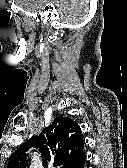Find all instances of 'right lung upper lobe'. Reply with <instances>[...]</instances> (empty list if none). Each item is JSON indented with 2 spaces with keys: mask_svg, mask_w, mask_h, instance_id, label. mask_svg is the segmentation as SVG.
I'll return each mask as SVG.
<instances>
[{
  "mask_svg": "<svg viewBox=\"0 0 127 168\" xmlns=\"http://www.w3.org/2000/svg\"><path fill=\"white\" fill-rule=\"evenodd\" d=\"M84 144L79 125L70 118L57 117L12 154L7 168H26L27 151L33 145L39 149L45 168H74L85 158Z\"/></svg>",
  "mask_w": 127,
  "mask_h": 168,
  "instance_id": "1",
  "label": "right lung upper lobe"
}]
</instances>
